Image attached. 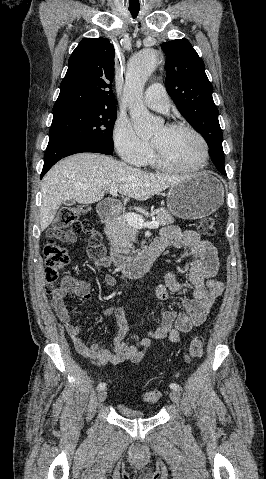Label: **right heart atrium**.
Instances as JSON below:
<instances>
[{
    "instance_id": "1",
    "label": "right heart atrium",
    "mask_w": 266,
    "mask_h": 479,
    "mask_svg": "<svg viewBox=\"0 0 266 479\" xmlns=\"http://www.w3.org/2000/svg\"><path fill=\"white\" fill-rule=\"evenodd\" d=\"M112 140L117 153L128 164L143 166L152 156L150 145L139 138L132 125L122 118L114 124Z\"/></svg>"
}]
</instances>
